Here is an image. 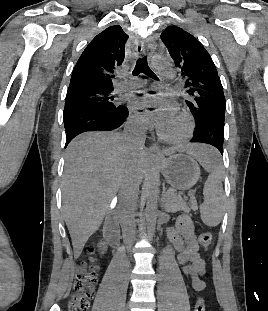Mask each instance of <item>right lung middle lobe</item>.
Listing matches in <instances>:
<instances>
[{"mask_svg": "<svg viewBox=\"0 0 268 311\" xmlns=\"http://www.w3.org/2000/svg\"><path fill=\"white\" fill-rule=\"evenodd\" d=\"M113 89L78 86L67 91L63 117L76 108L111 113L121 104L111 96Z\"/></svg>", "mask_w": 268, "mask_h": 311, "instance_id": "obj_1", "label": "right lung middle lobe"}]
</instances>
